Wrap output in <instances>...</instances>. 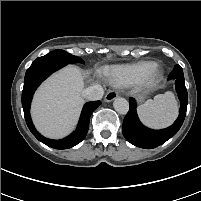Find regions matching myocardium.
<instances>
[{
    "mask_svg": "<svg viewBox=\"0 0 201 201\" xmlns=\"http://www.w3.org/2000/svg\"><path fill=\"white\" fill-rule=\"evenodd\" d=\"M162 69L159 66H155L146 76L145 80L149 84H154L158 82L162 77Z\"/></svg>",
    "mask_w": 201,
    "mask_h": 201,
    "instance_id": "obj_1",
    "label": "myocardium"
}]
</instances>
